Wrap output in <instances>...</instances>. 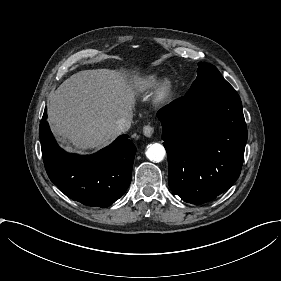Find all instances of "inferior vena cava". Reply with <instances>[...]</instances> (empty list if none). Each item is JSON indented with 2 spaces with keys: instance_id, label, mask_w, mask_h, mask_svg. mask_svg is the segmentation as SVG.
Returning a JSON list of instances; mask_svg holds the SVG:
<instances>
[{
  "instance_id": "602c4592",
  "label": "inferior vena cava",
  "mask_w": 281,
  "mask_h": 281,
  "mask_svg": "<svg viewBox=\"0 0 281 281\" xmlns=\"http://www.w3.org/2000/svg\"><path fill=\"white\" fill-rule=\"evenodd\" d=\"M132 118V115H130L129 117H123L121 119H119L118 121H116L115 125L117 130L122 133V132H126L129 130L130 128V120Z\"/></svg>"
}]
</instances>
